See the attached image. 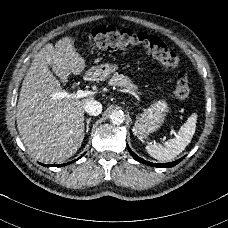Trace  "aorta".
Wrapping results in <instances>:
<instances>
[{
    "label": "aorta",
    "instance_id": "1",
    "mask_svg": "<svg viewBox=\"0 0 228 228\" xmlns=\"http://www.w3.org/2000/svg\"><path fill=\"white\" fill-rule=\"evenodd\" d=\"M110 121L115 125H120L125 120V115L121 110H114L109 116Z\"/></svg>",
    "mask_w": 228,
    "mask_h": 228
}]
</instances>
